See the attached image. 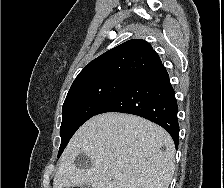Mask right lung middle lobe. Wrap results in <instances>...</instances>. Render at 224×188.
Listing matches in <instances>:
<instances>
[{"mask_svg": "<svg viewBox=\"0 0 224 188\" xmlns=\"http://www.w3.org/2000/svg\"><path fill=\"white\" fill-rule=\"evenodd\" d=\"M132 80L110 77L71 86L62 108L61 145L58 157L76 130L96 115L102 106L122 91Z\"/></svg>", "mask_w": 224, "mask_h": 188, "instance_id": "1", "label": "right lung middle lobe"}]
</instances>
